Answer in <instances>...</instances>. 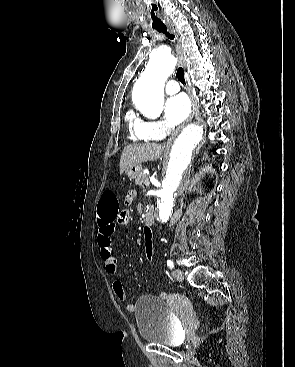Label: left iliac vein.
Wrapping results in <instances>:
<instances>
[{
	"mask_svg": "<svg viewBox=\"0 0 295 367\" xmlns=\"http://www.w3.org/2000/svg\"><path fill=\"white\" fill-rule=\"evenodd\" d=\"M173 277L177 280V281H182L184 279V275L182 270L180 269H176L173 271Z\"/></svg>",
	"mask_w": 295,
	"mask_h": 367,
	"instance_id": "4c4485c4",
	"label": "left iliac vein"
}]
</instances>
